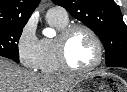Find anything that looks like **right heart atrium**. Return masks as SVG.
I'll list each match as a JSON object with an SVG mask.
<instances>
[{"mask_svg": "<svg viewBox=\"0 0 127 92\" xmlns=\"http://www.w3.org/2000/svg\"><path fill=\"white\" fill-rule=\"evenodd\" d=\"M16 51L19 62L24 68L31 70L38 68L41 57L40 40L31 22L21 29L16 40Z\"/></svg>", "mask_w": 127, "mask_h": 92, "instance_id": "right-heart-atrium-1", "label": "right heart atrium"}]
</instances>
